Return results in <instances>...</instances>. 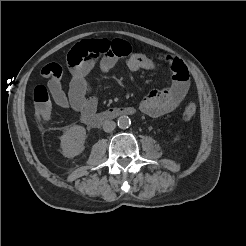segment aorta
<instances>
[{
  "mask_svg": "<svg viewBox=\"0 0 246 246\" xmlns=\"http://www.w3.org/2000/svg\"><path fill=\"white\" fill-rule=\"evenodd\" d=\"M117 124H118L119 128L127 129V128H129V126L131 124V120L128 116H121L118 118Z\"/></svg>",
  "mask_w": 246,
  "mask_h": 246,
  "instance_id": "obj_1",
  "label": "aorta"
}]
</instances>
